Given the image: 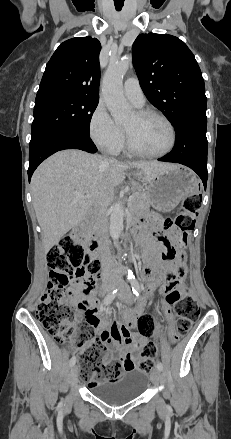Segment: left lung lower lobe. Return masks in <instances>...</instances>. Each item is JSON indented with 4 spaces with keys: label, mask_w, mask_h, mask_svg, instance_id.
I'll use <instances>...</instances> for the list:
<instances>
[{
    "label": "left lung lower lobe",
    "mask_w": 231,
    "mask_h": 439,
    "mask_svg": "<svg viewBox=\"0 0 231 439\" xmlns=\"http://www.w3.org/2000/svg\"><path fill=\"white\" fill-rule=\"evenodd\" d=\"M207 117H193L184 121L176 130L173 150L159 161L180 163L194 170L207 184Z\"/></svg>",
    "instance_id": "left-lung-lower-lobe-1"
}]
</instances>
